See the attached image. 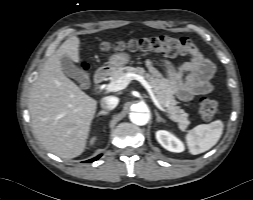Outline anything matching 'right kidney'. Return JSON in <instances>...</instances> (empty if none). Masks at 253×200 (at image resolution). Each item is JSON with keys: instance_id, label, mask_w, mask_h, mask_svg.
Returning a JSON list of instances; mask_svg holds the SVG:
<instances>
[{"instance_id": "obj_1", "label": "right kidney", "mask_w": 253, "mask_h": 200, "mask_svg": "<svg viewBox=\"0 0 253 200\" xmlns=\"http://www.w3.org/2000/svg\"><path fill=\"white\" fill-rule=\"evenodd\" d=\"M96 138L93 137L91 140H90V145H92L94 142H95Z\"/></svg>"}]
</instances>
